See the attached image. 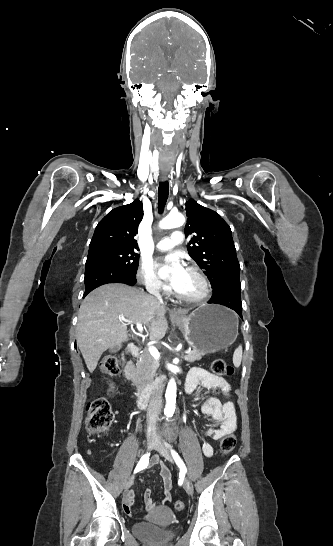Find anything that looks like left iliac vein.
Listing matches in <instances>:
<instances>
[{"mask_svg": "<svg viewBox=\"0 0 333 546\" xmlns=\"http://www.w3.org/2000/svg\"><path fill=\"white\" fill-rule=\"evenodd\" d=\"M154 449L157 450L166 460L170 462L173 461L168 444L160 437H156ZM184 489L189 495L193 494V485L190 480H184Z\"/></svg>", "mask_w": 333, "mask_h": 546, "instance_id": "left-iliac-vein-1", "label": "left iliac vein"}]
</instances>
